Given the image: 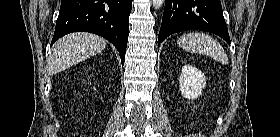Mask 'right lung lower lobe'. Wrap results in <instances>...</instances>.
I'll return each instance as SVG.
<instances>
[{
    "instance_id": "1",
    "label": "right lung lower lobe",
    "mask_w": 280,
    "mask_h": 137,
    "mask_svg": "<svg viewBox=\"0 0 280 137\" xmlns=\"http://www.w3.org/2000/svg\"><path fill=\"white\" fill-rule=\"evenodd\" d=\"M131 8L132 0H62L51 44L68 33H94L117 48L123 65Z\"/></svg>"
}]
</instances>
